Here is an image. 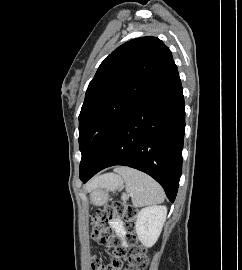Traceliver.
<instances>
[{
	"mask_svg": "<svg viewBox=\"0 0 242 270\" xmlns=\"http://www.w3.org/2000/svg\"><path fill=\"white\" fill-rule=\"evenodd\" d=\"M112 174L96 177L90 184L91 187L108 182L112 178Z\"/></svg>",
	"mask_w": 242,
	"mask_h": 270,
	"instance_id": "6515ba94",
	"label": "liver"
}]
</instances>
